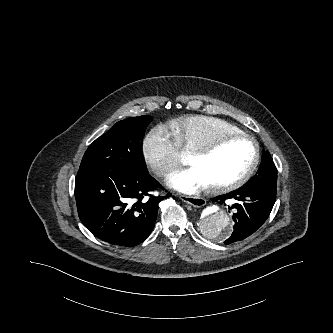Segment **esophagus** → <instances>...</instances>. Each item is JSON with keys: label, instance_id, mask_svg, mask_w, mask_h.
Segmentation results:
<instances>
[{"label": "esophagus", "instance_id": "esophagus-1", "mask_svg": "<svg viewBox=\"0 0 333 333\" xmlns=\"http://www.w3.org/2000/svg\"><path fill=\"white\" fill-rule=\"evenodd\" d=\"M179 198L188 204H191L195 207H202L205 205V199L196 196H186V195H179Z\"/></svg>", "mask_w": 333, "mask_h": 333}]
</instances>
